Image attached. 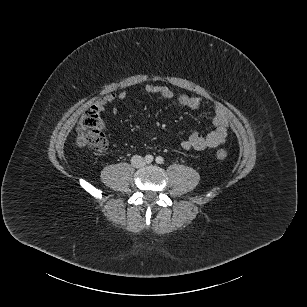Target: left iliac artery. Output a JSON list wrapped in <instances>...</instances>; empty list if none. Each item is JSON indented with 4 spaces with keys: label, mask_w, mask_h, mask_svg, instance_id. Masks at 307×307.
Returning a JSON list of instances; mask_svg holds the SVG:
<instances>
[{
    "label": "left iliac artery",
    "mask_w": 307,
    "mask_h": 307,
    "mask_svg": "<svg viewBox=\"0 0 307 307\" xmlns=\"http://www.w3.org/2000/svg\"><path fill=\"white\" fill-rule=\"evenodd\" d=\"M156 163L157 164H162L164 162V159L161 156L156 157Z\"/></svg>",
    "instance_id": "obj_1"
}]
</instances>
